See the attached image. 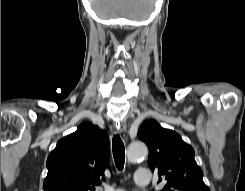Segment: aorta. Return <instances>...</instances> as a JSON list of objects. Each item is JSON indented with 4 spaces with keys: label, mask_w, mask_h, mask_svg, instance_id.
I'll return each instance as SVG.
<instances>
[{
    "label": "aorta",
    "mask_w": 245,
    "mask_h": 191,
    "mask_svg": "<svg viewBox=\"0 0 245 191\" xmlns=\"http://www.w3.org/2000/svg\"><path fill=\"white\" fill-rule=\"evenodd\" d=\"M148 154V149L143 142H133L127 150V158L131 163L144 159Z\"/></svg>",
    "instance_id": "762f6f07"
}]
</instances>
